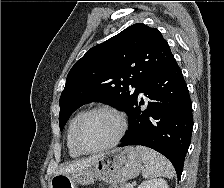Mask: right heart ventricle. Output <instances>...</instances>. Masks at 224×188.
Segmentation results:
<instances>
[{
	"label": "right heart ventricle",
	"instance_id": "right-heart-ventricle-1",
	"mask_svg": "<svg viewBox=\"0 0 224 188\" xmlns=\"http://www.w3.org/2000/svg\"><path fill=\"white\" fill-rule=\"evenodd\" d=\"M83 113H84L83 111H80L71 119L69 126H68V130H67L66 143H67L69 155L73 158H78L82 155V153L79 152L74 146L73 130H74V127H75L78 119L81 117V115Z\"/></svg>",
	"mask_w": 224,
	"mask_h": 188
}]
</instances>
